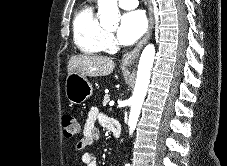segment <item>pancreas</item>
<instances>
[{"mask_svg": "<svg viewBox=\"0 0 227 166\" xmlns=\"http://www.w3.org/2000/svg\"><path fill=\"white\" fill-rule=\"evenodd\" d=\"M109 101H110V96L109 95H105L104 99H103V106H106Z\"/></svg>", "mask_w": 227, "mask_h": 166, "instance_id": "1", "label": "pancreas"}]
</instances>
